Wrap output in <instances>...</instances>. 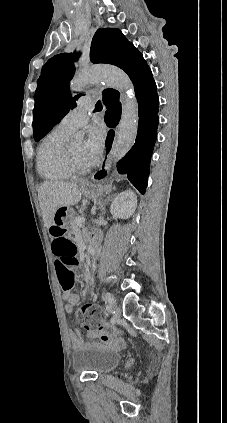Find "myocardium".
<instances>
[{
    "label": "myocardium",
    "instance_id": "1",
    "mask_svg": "<svg viewBox=\"0 0 227 423\" xmlns=\"http://www.w3.org/2000/svg\"><path fill=\"white\" fill-rule=\"evenodd\" d=\"M66 159L72 174H81L90 170L88 165H82L76 160L71 151V148L66 150Z\"/></svg>",
    "mask_w": 227,
    "mask_h": 423
}]
</instances>
